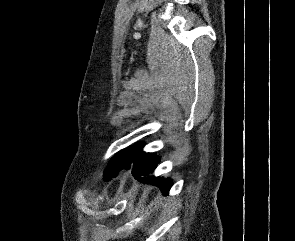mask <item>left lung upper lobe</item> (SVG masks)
Listing matches in <instances>:
<instances>
[{"mask_svg":"<svg viewBox=\"0 0 295 241\" xmlns=\"http://www.w3.org/2000/svg\"><path fill=\"white\" fill-rule=\"evenodd\" d=\"M143 143H137L120 151L110 161L107 168L104 171V180L110 181L117 176L120 170L124 169L135 159L139 158L144 152H142Z\"/></svg>","mask_w":295,"mask_h":241,"instance_id":"1","label":"left lung upper lobe"}]
</instances>
